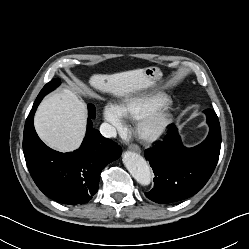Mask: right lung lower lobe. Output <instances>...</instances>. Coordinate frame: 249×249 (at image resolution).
<instances>
[{
	"instance_id": "right-lung-lower-lobe-1",
	"label": "right lung lower lobe",
	"mask_w": 249,
	"mask_h": 249,
	"mask_svg": "<svg viewBox=\"0 0 249 249\" xmlns=\"http://www.w3.org/2000/svg\"><path fill=\"white\" fill-rule=\"evenodd\" d=\"M42 98L38 95L24 127L23 151L28 170L47 197L64 204H84L97 192L102 169L119 158L122 149L94 129L90 117L78 150L61 153L50 149L40 140L33 125Z\"/></svg>"
}]
</instances>
